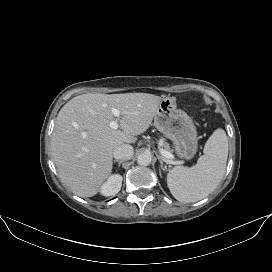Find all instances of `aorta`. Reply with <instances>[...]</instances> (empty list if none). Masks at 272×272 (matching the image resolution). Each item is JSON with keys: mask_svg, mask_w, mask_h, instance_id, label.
Returning a JSON list of instances; mask_svg holds the SVG:
<instances>
[{"mask_svg": "<svg viewBox=\"0 0 272 272\" xmlns=\"http://www.w3.org/2000/svg\"><path fill=\"white\" fill-rule=\"evenodd\" d=\"M152 161V156L148 152H144L138 155L137 163L141 166H148Z\"/></svg>", "mask_w": 272, "mask_h": 272, "instance_id": "762f6f07", "label": "aorta"}]
</instances>
